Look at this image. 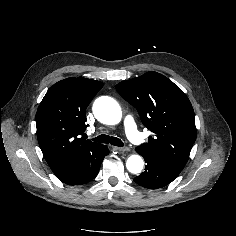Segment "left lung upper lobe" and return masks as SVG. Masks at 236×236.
<instances>
[{
    "instance_id": "5c2ea615",
    "label": "left lung upper lobe",
    "mask_w": 236,
    "mask_h": 236,
    "mask_svg": "<svg viewBox=\"0 0 236 236\" xmlns=\"http://www.w3.org/2000/svg\"><path fill=\"white\" fill-rule=\"evenodd\" d=\"M116 90L138 110L144 126L154 133L148 143L137 148L182 170L197 136L188 97L167 77L153 71L120 82Z\"/></svg>"
}]
</instances>
